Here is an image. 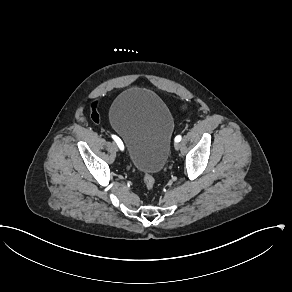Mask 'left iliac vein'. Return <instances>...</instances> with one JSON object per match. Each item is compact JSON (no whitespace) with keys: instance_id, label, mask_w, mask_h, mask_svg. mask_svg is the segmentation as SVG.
<instances>
[{"instance_id":"1","label":"left iliac vein","mask_w":292,"mask_h":292,"mask_svg":"<svg viewBox=\"0 0 292 292\" xmlns=\"http://www.w3.org/2000/svg\"><path fill=\"white\" fill-rule=\"evenodd\" d=\"M174 147H175L176 150H179L180 147H181V145H180L179 142H176V143L174 144Z\"/></svg>"}]
</instances>
